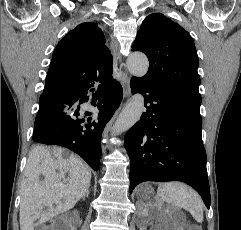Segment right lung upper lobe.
Instances as JSON below:
<instances>
[{
    "label": "right lung upper lobe",
    "mask_w": 241,
    "mask_h": 230,
    "mask_svg": "<svg viewBox=\"0 0 241 230\" xmlns=\"http://www.w3.org/2000/svg\"><path fill=\"white\" fill-rule=\"evenodd\" d=\"M112 55L97 23L85 22L57 44L40 98L62 101L112 78Z\"/></svg>",
    "instance_id": "right-lung-upper-lobe-1"
}]
</instances>
